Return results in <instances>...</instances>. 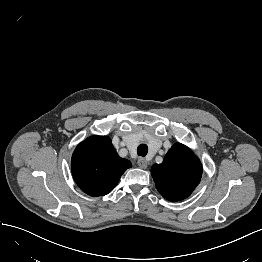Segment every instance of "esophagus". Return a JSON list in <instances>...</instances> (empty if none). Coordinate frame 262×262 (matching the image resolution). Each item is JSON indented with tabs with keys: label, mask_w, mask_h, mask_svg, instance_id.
<instances>
[{
	"label": "esophagus",
	"mask_w": 262,
	"mask_h": 262,
	"mask_svg": "<svg viewBox=\"0 0 262 262\" xmlns=\"http://www.w3.org/2000/svg\"><path fill=\"white\" fill-rule=\"evenodd\" d=\"M137 164L140 168H143V169H146L148 166L147 160L143 157L138 158Z\"/></svg>",
	"instance_id": "obj_1"
}]
</instances>
